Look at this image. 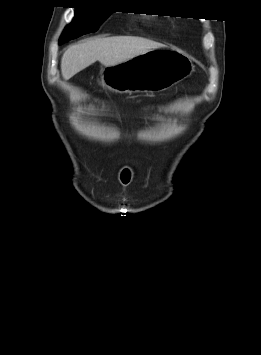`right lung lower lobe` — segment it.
Instances as JSON below:
<instances>
[{
  "label": "right lung lower lobe",
  "mask_w": 261,
  "mask_h": 355,
  "mask_svg": "<svg viewBox=\"0 0 261 355\" xmlns=\"http://www.w3.org/2000/svg\"><path fill=\"white\" fill-rule=\"evenodd\" d=\"M69 40H71V39L59 40V44H63V43H65V42L69 41Z\"/></svg>",
  "instance_id": "obj_1"
}]
</instances>
